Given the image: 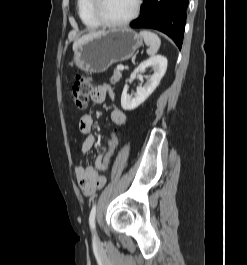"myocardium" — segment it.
<instances>
[{"label":"myocardium","instance_id":"f54148a6","mask_svg":"<svg viewBox=\"0 0 247 265\" xmlns=\"http://www.w3.org/2000/svg\"><path fill=\"white\" fill-rule=\"evenodd\" d=\"M103 0H91V12L95 20L103 27L119 28L132 23L139 15L143 0H136L133 12L129 17L121 21H111L104 17L101 11Z\"/></svg>","mask_w":247,"mask_h":265}]
</instances>
